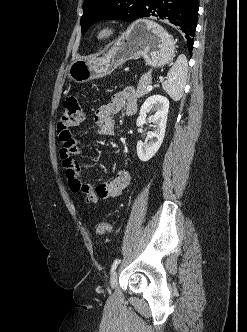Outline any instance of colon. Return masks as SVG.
I'll return each instance as SVG.
<instances>
[{
    "label": "colon",
    "mask_w": 247,
    "mask_h": 332,
    "mask_svg": "<svg viewBox=\"0 0 247 332\" xmlns=\"http://www.w3.org/2000/svg\"><path fill=\"white\" fill-rule=\"evenodd\" d=\"M84 119L83 107L78 96L68 97L64 102V110L57 123V133L63 144L73 142L72 129L81 125ZM96 234L107 237L112 232V226L108 222H99L95 228Z\"/></svg>",
    "instance_id": "obj_1"
}]
</instances>
